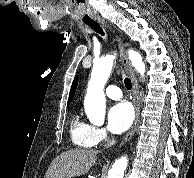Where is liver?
<instances>
[{
	"mask_svg": "<svg viewBox=\"0 0 194 178\" xmlns=\"http://www.w3.org/2000/svg\"><path fill=\"white\" fill-rule=\"evenodd\" d=\"M97 152L74 149L61 153L48 167L45 178H72L88 172L96 162Z\"/></svg>",
	"mask_w": 194,
	"mask_h": 178,
	"instance_id": "1",
	"label": "liver"
}]
</instances>
